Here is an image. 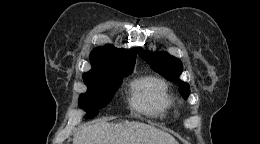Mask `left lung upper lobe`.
Masks as SVG:
<instances>
[{
    "instance_id": "left-lung-upper-lobe-1",
    "label": "left lung upper lobe",
    "mask_w": 260,
    "mask_h": 144,
    "mask_svg": "<svg viewBox=\"0 0 260 144\" xmlns=\"http://www.w3.org/2000/svg\"><path fill=\"white\" fill-rule=\"evenodd\" d=\"M138 53L140 57L150 64L159 74L166 79L181 85L179 92L184 98L189 96V85L179 79L183 70V65L178 58L171 56L166 52H151L145 51L142 48H138Z\"/></svg>"
}]
</instances>
